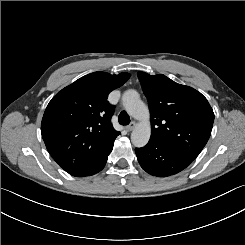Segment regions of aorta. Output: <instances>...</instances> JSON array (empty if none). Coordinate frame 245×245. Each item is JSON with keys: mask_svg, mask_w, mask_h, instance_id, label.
<instances>
[{"mask_svg": "<svg viewBox=\"0 0 245 245\" xmlns=\"http://www.w3.org/2000/svg\"><path fill=\"white\" fill-rule=\"evenodd\" d=\"M122 100L126 111L133 118L141 121L131 133V142L135 147H144L151 136L148 107L141 101L135 90L125 91Z\"/></svg>", "mask_w": 245, "mask_h": 245, "instance_id": "aorta-1", "label": "aorta"}]
</instances>
